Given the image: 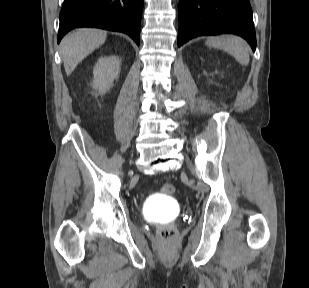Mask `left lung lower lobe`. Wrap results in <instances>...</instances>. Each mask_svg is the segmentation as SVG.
Segmentation results:
<instances>
[{
    "label": "left lung lower lobe",
    "instance_id": "left-lung-lower-lobe-1",
    "mask_svg": "<svg viewBox=\"0 0 309 288\" xmlns=\"http://www.w3.org/2000/svg\"><path fill=\"white\" fill-rule=\"evenodd\" d=\"M233 33L256 49V34L249 0H181L178 47L205 35Z\"/></svg>",
    "mask_w": 309,
    "mask_h": 288
}]
</instances>
